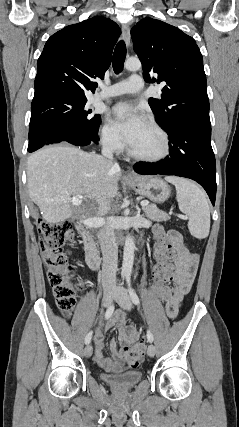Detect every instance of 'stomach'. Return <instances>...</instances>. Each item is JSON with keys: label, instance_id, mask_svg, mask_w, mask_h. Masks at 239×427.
I'll list each match as a JSON object with an SVG mask.
<instances>
[{"label": "stomach", "instance_id": "stomach-1", "mask_svg": "<svg viewBox=\"0 0 239 427\" xmlns=\"http://www.w3.org/2000/svg\"><path fill=\"white\" fill-rule=\"evenodd\" d=\"M127 185L137 194L157 203L165 202L171 192L169 185L157 177H139L134 182H127Z\"/></svg>", "mask_w": 239, "mask_h": 427}]
</instances>
